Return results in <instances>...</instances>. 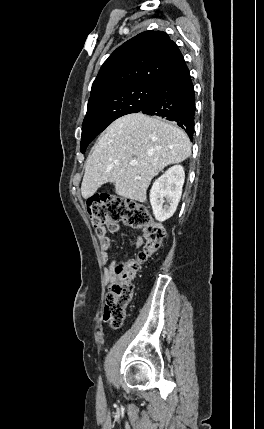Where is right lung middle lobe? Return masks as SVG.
<instances>
[{"label":"right lung middle lobe","mask_w":264,"mask_h":429,"mask_svg":"<svg viewBox=\"0 0 264 429\" xmlns=\"http://www.w3.org/2000/svg\"><path fill=\"white\" fill-rule=\"evenodd\" d=\"M156 87L152 84H136L90 100L82 125L81 152L84 153L89 143L114 120L141 111Z\"/></svg>","instance_id":"right-lung-middle-lobe-1"}]
</instances>
